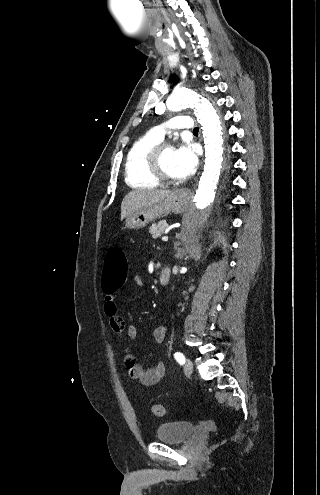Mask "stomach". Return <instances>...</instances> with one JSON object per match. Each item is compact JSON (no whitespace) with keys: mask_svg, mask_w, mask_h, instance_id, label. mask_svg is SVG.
<instances>
[{"mask_svg":"<svg viewBox=\"0 0 320 495\" xmlns=\"http://www.w3.org/2000/svg\"><path fill=\"white\" fill-rule=\"evenodd\" d=\"M186 207L185 195L182 191L175 190L161 201L130 213L126 218V227L129 229H141L164 215L181 213Z\"/></svg>","mask_w":320,"mask_h":495,"instance_id":"1","label":"stomach"}]
</instances>
